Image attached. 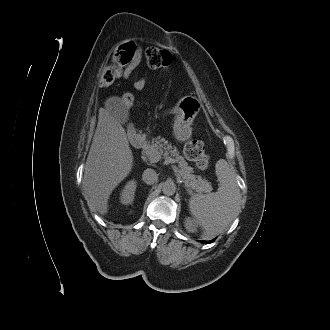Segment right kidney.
Here are the masks:
<instances>
[{
  "label": "right kidney",
  "mask_w": 330,
  "mask_h": 330,
  "mask_svg": "<svg viewBox=\"0 0 330 330\" xmlns=\"http://www.w3.org/2000/svg\"><path fill=\"white\" fill-rule=\"evenodd\" d=\"M136 188L137 184L135 180H130L126 183L120 194V199L123 204H131L133 202Z\"/></svg>",
  "instance_id": "right-kidney-1"
}]
</instances>
